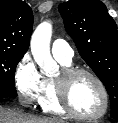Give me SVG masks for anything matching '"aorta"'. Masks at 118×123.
Wrapping results in <instances>:
<instances>
[{
	"mask_svg": "<svg viewBox=\"0 0 118 123\" xmlns=\"http://www.w3.org/2000/svg\"><path fill=\"white\" fill-rule=\"evenodd\" d=\"M51 35L52 25L49 22H43L35 29L31 37L32 55L44 74H51L57 68L50 53Z\"/></svg>",
	"mask_w": 118,
	"mask_h": 123,
	"instance_id": "obj_1",
	"label": "aorta"
}]
</instances>
